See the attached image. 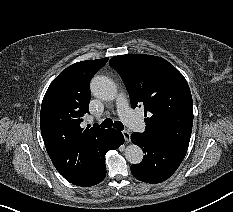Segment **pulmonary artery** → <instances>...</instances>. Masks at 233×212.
I'll use <instances>...</instances> for the list:
<instances>
[{"label":"pulmonary artery","mask_w":233,"mask_h":212,"mask_svg":"<svg viewBox=\"0 0 233 212\" xmlns=\"http://www.w3.org/2000/svg\"><path fill=\"white\" fill-rule=\"evenodd\" d=\"M117 110L122 120L133 130L138 132L144 131V123L142 120L130 109L129 104L123 94L117 98Z\"/></svg>","instance_id":"pulmonary-artery-1"}]
</instances>
